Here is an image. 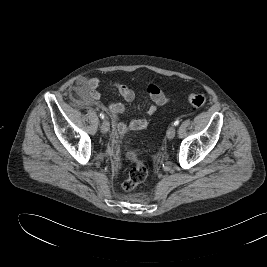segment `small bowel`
Segmentation results:
<instances>
[{"mask_svg": "<svg viewBox=\"0 0 267 267\" xmlns=\"http://www.w3.org/2000/svg\"><path fill=\"white\" fill-rule=\"evenodd\" d=\"M100 81L98 78L85 79L81 78L77 81L74 88L85 101L94 104L100 109L106 111L111 117L117 132L121 135L125 134L128 130L139 131L148 127V121L146 119H133L128 124L121 121L119 116L124 113L126 107L117 102L101 103V95L98 92ZM117 89L122 98L130 103L135 99L134 90L123 83L117 84ZM146 91L152 100L153 104L146 110L147 115L153 116L158 112V109L166 106L170 102V98L155 84L149 83L146 86Z\"/></svg>", "mask_w": 267, "mask_h": 267, "instance_id": "obj_1", "label": "small bowel"}]
</instances>
